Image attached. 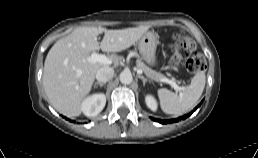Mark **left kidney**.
<instances>
[{"label": "left kidney", "mask_w": 258, "mask_h": 158, "mask_svg": "<svg viewBox=\"0 0 258 158\" xmlns=\"http://www.w3.org/2000/svg\"><path fill=\"white\" fill-rule=\"evenodd\" d=\"M145 102L146 105L152 110V111H156L158 108V104L156 99L152 96V95H147L145 97Z\"/></svg>", "instance_id": "obj_1"}]
</instances>
